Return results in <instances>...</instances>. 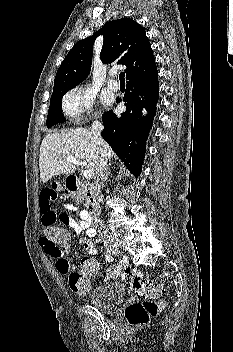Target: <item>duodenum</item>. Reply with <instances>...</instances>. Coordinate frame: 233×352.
Masks as SVG:
<instances>
[{"label":"duodenum","instance_id":"410a0bca","mask_svg":"<svg viewBox=\"0 0 233 352\" xmlns=\"http://www.w3.org/2000/svg\"><path fill=\"white\" fill-rule=\"evenodd\" d=\"M66 185L69 192L87 197V213L91 221L94 220L99 213L95 186L81 184L76 176H69Z\"/></svg>","mask_w":233,"mask_h":352}]
</instances>
